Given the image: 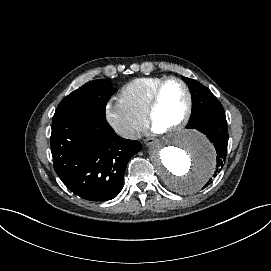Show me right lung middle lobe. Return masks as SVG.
<instances>
[{
  "mask_svg": "<svg viewBox=\"0 0 271 271\" xmlns=\"http://www.w3.org/2000/svg\"><path fill=\"white\" fill-rule=\"evenodd\" d=\"M116 92L108 80H94L66 96L58 105L53 120L73 112L105 116V107Z\"/></svg>",
  "mask_w": 271,
  "mask_h": 271,
  "instance_id": "dd1d6c3e",
  "label": "right lung middle lobe"
}]
</instances>
